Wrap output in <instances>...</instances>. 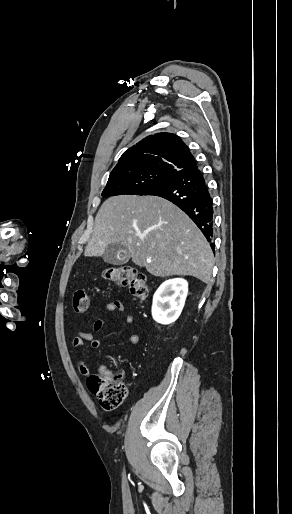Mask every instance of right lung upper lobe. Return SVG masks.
Masks as SVG:
<instances>
[{"label": "right lung upper lobe", "instance_id": "1", "mask_svg": "<svg viewBox=\"0 0 292 514\" xmlns=\"http://www.w3.org/2000/svg\"><path fill=\"white\" fill-rule=\"evenodd\" d=\"M195 165V158L177 135L157 133L125 151L110 176L143 172L174 174Z\"/></svg>", "mask_w": 292, "mask_h": 514}]
</instances>
